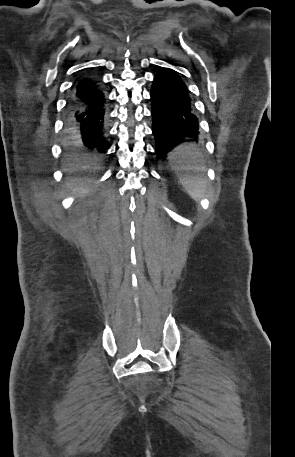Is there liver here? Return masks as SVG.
Here are the masks:
<instances>
[{
  "label": "liver",
  "mask_w": 295,
  "mask_h": 457,
  "mask_svg": "<svg viewBox=\"0 0 295 457\" xmlns=\"http://www.w3.org/2000/svg\"><path fill=\"white\" fill-rule=\"evenodd\" d=\"M81 166H79L78 164L77 165H71V167H69L67 170H70V171H75V170H78L80 169ZM68 186L70 188H72V192L74 194H79V195H82V194H85L88 192V188L84 187V184L82 183H78V182H70L68 183Z\"/></svg>",
  "instance_id": "6515ba94"
}]
</instances>
